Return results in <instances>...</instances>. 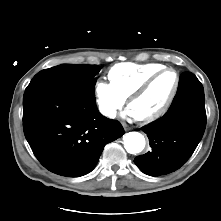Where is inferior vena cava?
I'll return each instance as SVG.
<instances>
[{"label": "inferior vena cava", "instance_id": "1", "mask_svg": "<svg viewBox=\"0 0 221 221\" xmlns=\"http://www.w3.org/2000/svg\"><path fill=\"white\" fill-rule=\"evenodd\" d=\"M105 114L106 116L114 118L116 116V111L115 110L106 111Z\"/></svg>", "mask_w": 221, "mask_h": 221}]
</instances>
